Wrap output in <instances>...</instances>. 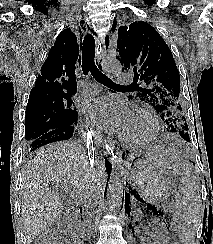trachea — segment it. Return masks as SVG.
Segmentation results:
<instances>
[{"label": "trachea", "mask_w": 213, "mask_h": 244, "mask_svg": "<svg viewBox=\"0 0 213 244\" xmlns=\"http://www.w3.org/2000/svg\"><path fill=\"white\" fill-rule=\"evenodd\" d=\"M95 58V39L91 34H87L84 37L83 41V50H82V71L84 75H87L89 72L99 83L110 87V88H123L127 86H121L112 82L107 76H105L94 62Z\"/></svg>", "instance_id": "1"}]
</instances>
